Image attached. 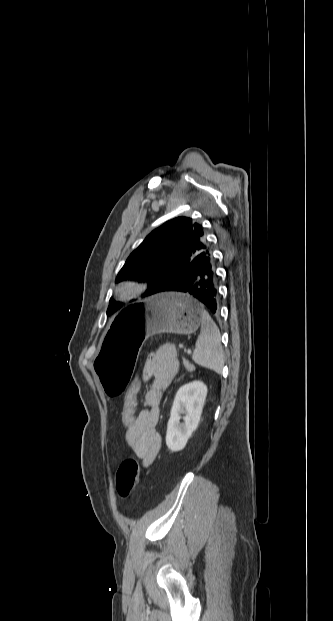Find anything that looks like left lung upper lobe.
Instances as JSON below:
<instances>
[{"mask_svg":"<svg viewBox=\"0 0 333 621\" xmlns=\"http://www.w3.org/2000/svg\"><path fill=\"white\" fill-rule=\"evenodd\" d=\"M205 248L210 246L200 224L189 217L174 218L152 231L130 254L116 282L140 277L148 282L142 297L160 293ZM121 306V303L111 298L107 315L116 312Z\"/></svg>","mask_w":333,"mask_h":621,"instance_id":"left-lung-upper-lobe-1","label":"left lung upper lobe"}]
</instances>
